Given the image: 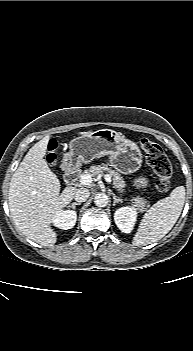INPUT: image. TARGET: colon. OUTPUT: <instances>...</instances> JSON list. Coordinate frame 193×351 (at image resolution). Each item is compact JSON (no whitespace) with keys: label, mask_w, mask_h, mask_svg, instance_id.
<instances>
[{"label":"colon","mask_w":193,"mask_h":351,"mask_svg":"<svg viewBox=\"0 0 193 351\" xmlns=\"http://www.w3.org/2000/svg\"><path fill=\"white\" fill-rule=\"evenodd\" d=\"M140 146L145 152L147 163L158 177V190L163 193L169 191L171 187L172 166L163 149L148 139H141ZM56 147V143L53 141L48 146V161L51 165L57 163Z\"/></svg>","instance_id":"5ec220e1"}]
</instances>
